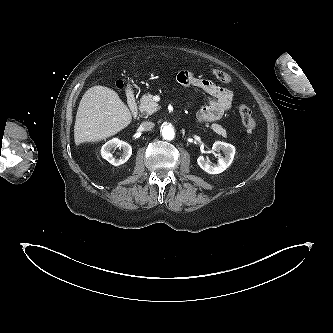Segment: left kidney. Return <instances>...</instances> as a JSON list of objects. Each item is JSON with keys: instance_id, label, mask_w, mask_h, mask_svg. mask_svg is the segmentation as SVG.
I'll return each instance as SVG.
<instances>
[{"instance_id": "1", "label": "left kidney", "mask_w": 333, "mask_h": 333, "mask_svg": "<svg viewBox=\"0 0 333 333\" xmlns=\"http://www.w3.org/2000/svg\"><path fill=\"white\" fill-rule=\"evenodd\" d=\"M212 149L216 152L222 150L225 154V157L219 156L218 166L215 167L211 166L202 155L198 157L197 163L200 166V168L203 169L208 174L222 173L232 163L235 155V147L231 144L217 141L213 144Z\"/></svg>"}]
</instances>
